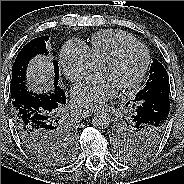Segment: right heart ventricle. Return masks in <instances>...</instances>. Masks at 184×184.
<instances>
[{
    "label": "right heart ventricle",
    "mask_w": 184,
    "mask_h": 184,
    "mask_svg": "<svg viewBox=\"0 0 184 184\" xmlns=\"http://www.w3.org/2000/svg\"><path fill=\"white\" fill-rule=\"evenodd\" d=\"M133 41L135 39L123 31L103 30L91 37L88 48L93 61L97 64L120 45Z\"/></svg>",
    "instance_id": "1"
}]
</instances>
